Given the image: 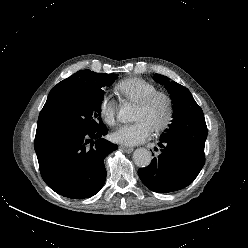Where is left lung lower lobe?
I'll list each match as a JSON object with an SVG mask.
<instances>
[{"instance_id": "0a47b994", "label": "left lung lower lobe", "mask_w": 248, "mask_h": 248, "mask_svg": "<svg viewBox=\"0 0 248 248\" xmlns=\"http://www.w3.org/2000/svg\"><path fill=\"white\" fill-rule=\"evenodd\" d=\"M161 154L140 168L143 184L158 193L183 189L197 177L205 163L204 145L183 136L161 139Z\"/></svg>"}]
</instances>
